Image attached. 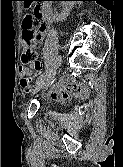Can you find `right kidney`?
Listing matches in <instances>:
<instances>
[{
    "instance_id": "obj_1",
    "label": "right kidney",
    "mask_w": 123,
    "mask_h": 167,
    "mask_svg": "<svg viewBox=\"0 0 123 167\" xmlns=\"http://www.w3.org/2000/svg\"><path fill=\"white\" fill-rule=\"evenodd\" d=\"M62 3V6H63V10L60 14H56L53 16V19L55 21H63L67 18V16L69 15L73 5H74V2H61Z\"/></svg>"
}]
</instances>
